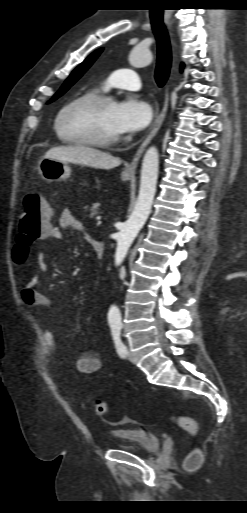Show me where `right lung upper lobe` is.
I'll return each mask as SVG.
<instances>
[{
  "label": "right lung upper lobe",
  "mask_w": 247,
  "mask_h": 513,
  "mask_svg": "<svg viewBox=\"0 0 247 513\" xmlns=\"http://www.w3.org/2000/svg\"><path fill=\"white\" fill-rule=\"evenodd\" d=\"M183 66H184V64L181 65V70H182Z\"/></svg>",
  "instance_id": "cb5924a9"
}]
</instances>
